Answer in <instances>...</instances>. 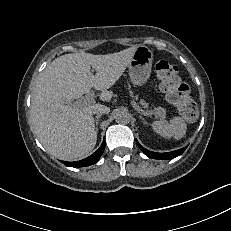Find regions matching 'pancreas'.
<instances>
[{
  "label": "pancreas",
  "mask_w": 231,
  "mask_h": 231,
  "mask_svg": "<svg viewBox=\"0 0 231 231\" xmlns=\"http://www.w3.org/2000/svg\"><path fill=\"white\" fill-rule=\"evenodd\" d=\"M140 105L144 108H147L148 107V104L144 101V100H141L140 101ZM153 112V114L156 116V117H160L161 119H164L165 116H166V110L162 107H157V108H154L153 110H151Z\"/></svg>",
  "instance_id": "1"
}]
</instances>
